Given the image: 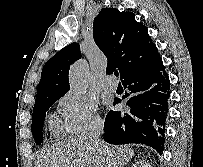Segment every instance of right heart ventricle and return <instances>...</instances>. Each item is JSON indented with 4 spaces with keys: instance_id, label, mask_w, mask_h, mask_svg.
<instances>
[{
    "instance_id": "obj_1",
    "label": "right heart ventricle",
    "mask_w": 203,
    "mask_h": 167,
    "mask_svg": "<svg viewBox=\"0 0 203 167\" xmlns=\"http://www.w3.org/2000/svg\"><path fill=\"white\" fill-rule=\"evenodd\" d=\"M49 129L56 136L62 135L65 132L63 125L56 118L50 120Z\"/></svg>"
}]
</instances>
